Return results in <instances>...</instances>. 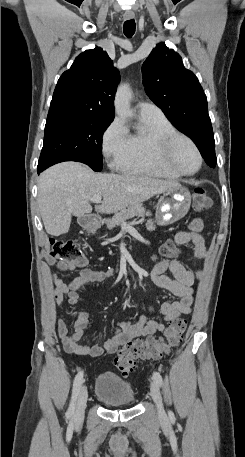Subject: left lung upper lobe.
Wrapping results in <instances>:
<instances>
[{
    "label": "left lung upper lobe",
    "instance_id": "5c2ea615",
    "mask_svg": "<svg viewBox=\"0 0 245 457\" xmlns=\"http://www.w3.org/2000/svg\"><path fill=\"white\" fill-rule=\"evenodd\" d=\"M142 74L147 95L179 131L195 144L213 133L206 95L178 53L159 43L143 63Z\"/></svg>",
    "mask_w": 245,
    "mask_h": 457
}]
</instances>
